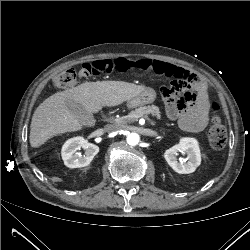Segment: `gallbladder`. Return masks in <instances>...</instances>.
Here are the masks:
<instances>
[{"mask_svg":"<svg viewBox=\"0 0 250 250\" xmlns=\"http://www.w3.org/2000/svg\"><path fill=\"white\" fill-rule=\"evenodd\" d=\"M65 104L71 114L74 115L81 123L86 124L91 121L92 115L79 102L67 100Z\"/></svg>","mask_w":250,"mask_h":250,"instance_id":"bac80fb5","label":"gallbladder"}]
</instances>
